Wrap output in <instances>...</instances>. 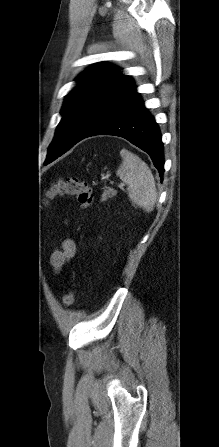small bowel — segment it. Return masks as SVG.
Here are the masks:
<instances>
[{
    "label": "small bowel",
    "instance_id": "c3829d8e",
    "mask_svg": "<svg viewBox=\"0 0 219 447\" xmlns=\"http://www.w3.org/2000/svg\"><path fill=\"white\" fill-rule=\"evenodd\" d=\"M76 254V245L73 240L65 239L62 242L60 250L53 252L51 256V263L56 270H59L65 263H67Z\"/></svg>",
    "mask_w": 219,
    "mask_h": 447
}]
</instances>
